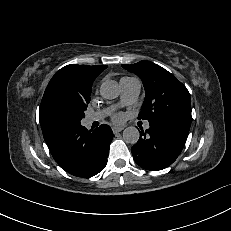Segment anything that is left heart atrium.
I'll list each match as a JSON object with an SVG mask.
<instances>
[{
  "label": "left heart atrium",
  "mask_w": 231,
  "mask_h": 231,
  "mask_svg": "<svg viewBox=\"0 0 231 231\" xmlns=\"http://www.w3.org/2000/svg\"><path fill=\"white\" fill-rule=\"evenodd\" d=\"M121 119H122L121 115H115L114 116V120H116V121H120Z\"/></svg>",
  "instance_id": "39dd6f15"
}]
</instances>
